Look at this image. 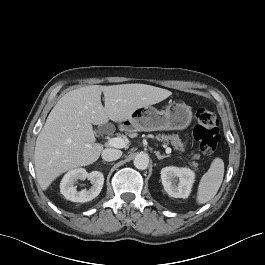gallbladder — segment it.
<instances>
[{"instance_id": "bac80fb5", "label": "gallbladder", "mask_w": 265, "mask_h": 265, "mask_svg": "<svg viewBox=\"0 0 265 265\" xmlns=\"http://www.w3.org/2000/svg\"><path fill=\"white\" fill-rule=\"evenodd\" d=\"M107 125H103L101 128H99L98 132L102 133L106 129Z\"/></svg>"}]
</instances>
